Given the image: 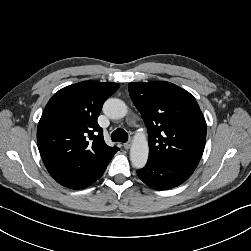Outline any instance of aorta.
<instances>
[{
	"mask_svg": "<svg viewBox=\"0 0 251 251\" xmlns=\"http://www.w3.org/2000/svg\"><path fill=\"white\" fill-rule=\"evenodd\" d=\"M103 112L111 119H121L126 116V104L117 98H109L103 105ZM149 146L144 133H139L133 140L130 149V160L134 167L143 168L148 160Z\"/></svg>",
	"mask_w": 251,
	"mask_h": 251,
	"instance_id": "1",
	"label": "aorta"
}]
</instances>
